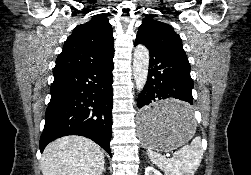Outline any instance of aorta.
Listing matches in <instances>:
<instances>
[{"label": "aorta", "instance_id": "obj_1", "mask_svg": "<svg viewBox=\"0 0 251 175\" xmlns=\"http://www.w3.org/2000/svg\"><path fill=\"white\" fill-rule=\"evenodd\" d=\"M149 68V52L145 46H136L133 56V76L135 86L139 91L144 88L147 82Z\"/></svg>", "mask_w": 251, "mask_h": 175}]
</instances>
